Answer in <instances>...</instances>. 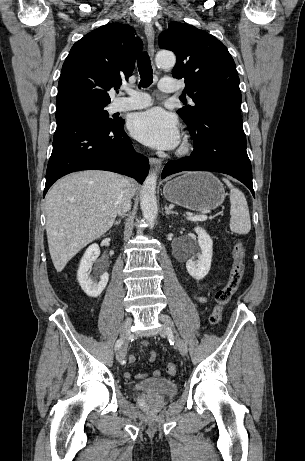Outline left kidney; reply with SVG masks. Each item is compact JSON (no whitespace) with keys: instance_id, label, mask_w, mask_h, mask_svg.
<instances>
[{"instance_id":"5707ae66","label":"left kidney","mask_w":305,"mask_h":461,"mask_svg":"<svg viewBox=\"0 0 305 461\" xmlns=\"http://www.w3.org/2000/svg\"><path fill=\"white\" fill-rule=\"evenodd\" d=\"M194 230L198 235V245L193 243L189 247L186 269L194 279L201 280L211 268L213 241L203 228L196 227Z\"/></svg>"}]
</instances>
